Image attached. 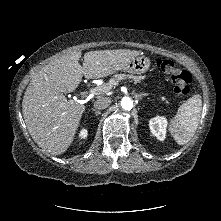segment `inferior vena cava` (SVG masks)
<instances>
[{
	"label": "inferior vena cava",
	"instance_id": "inferior-vena-cava-1",
	"mask_svg": "<svg viewBox=\"0 0 221 221\" xmlns=\"http://www.w3.org/2000/svg\"><path fill=\"white\" fill-rule=\"evenodd\" d=\"M110 103L111 100L109 98L103 97L95 101L94 107L98 110H102L107 108L110 105Z\"/></svg>",
	"mask_w": 221,
	"mask_h": 221
}]
</instances>
